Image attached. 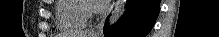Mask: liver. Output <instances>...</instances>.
<instances>
[{
    "label": "liver",
    "instance_id": "6515ba94",
    "mask_svg": "<svg viewBox=\"0 0 219 37\" xmlns=\"http://www.w3.org/2000/svg\"><path fill=\"white\" fill-rule=\"evenodd\" d=\"M82 35H84V36H82V37H87V36H85V35H87L86 33H85V34H82Z\"/></svg>",
    "mask_w": 219,
    "mask_h": 37
}]
</instances>
